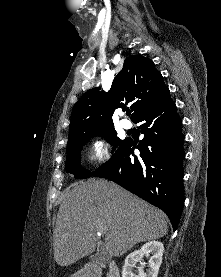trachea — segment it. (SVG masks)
Segmentation results:
<instances>
[{
  "mask_svg": "<svg viewBox=\"0 0 221 277\" xmlns=\"http://www.w3.org/2000/svg\"><path fill=\"white\" fill-rule=\"evenodd\" d=\"M126 114H127L128 116H130V115H131V111H126Z\"/></svg>",
  "mask_w": 221,
  "mask_h": 277,
  "instance_id": "3493384b",
  "label": "trachea"
}]
</instances>
